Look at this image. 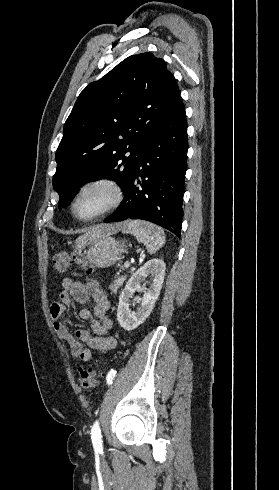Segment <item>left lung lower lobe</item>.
<instances>
[{"label": "left lung lower lobe", "mask_w": 279, "mask_h": 490, "mask_svg": "<svg viewBox=\"0 0 279 490\" xmlns=\"http://www.w3.org/2000/svg\"><path fill=\"white\" fill-rule=\"evenodd\" d=\"M187 150L186 115L181 101L147 138L123 191L121 206L104 222L147 220L180 238Z\"/></svg>", "instance_id": "0a47b994"}]
</instances>
